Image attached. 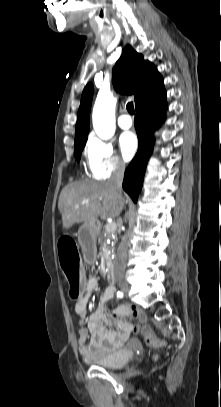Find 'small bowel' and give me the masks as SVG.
Segmentation results:
<instances>
[{
    "label": "small bowel",
    "mask_w": 221,
    "mask_h": 407,
    "mask_svg": "<svg viewBox=\"0 0 221 407\" xmlns=\"http://www.w3.org/2000/svg\"><path fill=\"white\" fill-rule=\"evenodd\" d=\"M97 288V278H88L84 292L75 305L77 316L86 324V327H81L78 339L79 353L86 360L119 348L145 319L142 310L128 305H119L110 312L106 311V305L116 291L114 286L107 287L98 308L88 314V301ZM128 318H134L136 323L128 321ZM89 335L90 341L87 342Z\"/></svg>",
    "instance_id": "1"
}]
</instances>
